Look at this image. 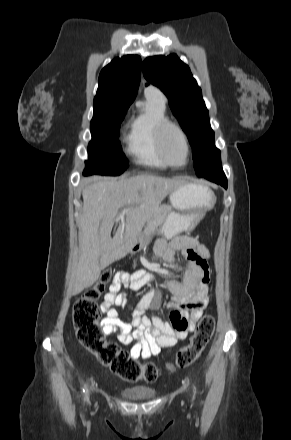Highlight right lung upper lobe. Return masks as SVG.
I'll return each mask as SVG.
<instances>
[{"instance_id":"1","label":"right lung upper lobe","mask_w":291,"mask_h":440,"mask_svg":"<svg viewBox=\"0 0 291 440\" xmlns=\"http://www.w3.org/2000/svg\"><path fill=\"white\" fill-rule=\"evenodd\" d=\"M140 76L141 58L138 55L113 59L100 72L93 106H130L136 97Z\"/></svg>"}]
</instances>
